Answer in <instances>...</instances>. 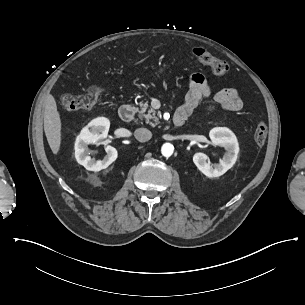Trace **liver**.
<instances>
[{"instance_id": "obj_1", "label": "liver", "mask_w": 305, "mask_h": 305, "mask_svg": "<svg viewBox=\"0 0 305 305\" xmlns=\"http://www.w3.org/2000/svg\"><path fill=\"white\" fill-rule=\"evenodd\" d=\"M44 130L54 155H58L62 145V119L53 95L45 98Z\"/></svg>"}]
</instances>
